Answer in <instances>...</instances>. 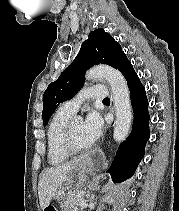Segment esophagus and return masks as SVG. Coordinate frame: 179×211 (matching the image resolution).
<instances>
[{"label":"esophagus","instance_id":"obj_1","mask_svg":"<svg viewBox=\"0 0 179 211\" xmlns=\"http://www.w3.org/2000/svg\"><path fill=\"white\" fill-rule=\"evenodd\" d=\"M90 156H92L93 171H100V167H104V164H106L105 155L102 154V151H90Z\"/></svg>","mask_w":179,"mask_h":211}]
</instances>
